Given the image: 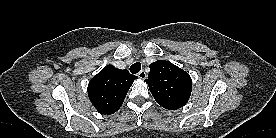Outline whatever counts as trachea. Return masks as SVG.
Masks as SVG:
<instances>
[{
    "label": "trachea",
    "mask_w": 276,
    "mask_h": 138,
    "mask_svg": "<svg viewBox=\"0 0 276 138\" xmlns=\"http://www.w3.org/2000/svg\"><path fill=\"white\" fill-rule=\"evenodd\" d=\"M140 70H141V64H140V62H135L130 67V72L133 73V74L138 73Z\"/></svg>",
    "instance_id": "1"
}]
</instances>
